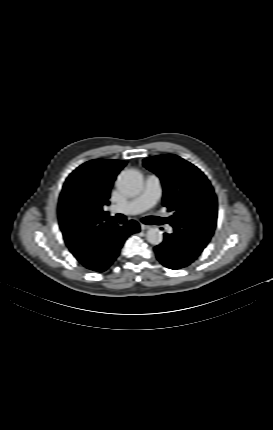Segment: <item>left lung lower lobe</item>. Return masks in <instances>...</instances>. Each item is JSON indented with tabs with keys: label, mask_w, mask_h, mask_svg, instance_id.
<instances>
[{
	"label": "left lung lower lobe",
	"mask_w": 273,
	"mask_h": 430,
	"mask_svg": "<svg viewBox=\"0 0 273 430\" xmlns=\"http://www.w3.org/2000/svg\"><path fill=\"white\" fill-rule=\"evenodd\" d=\"M158 260L167 268L177 270L191 264L201 253L182 242L177 233L165 234L164 241L155 247Z\"/></svg>",
	"instance_id": "1"
}]
</instances>
